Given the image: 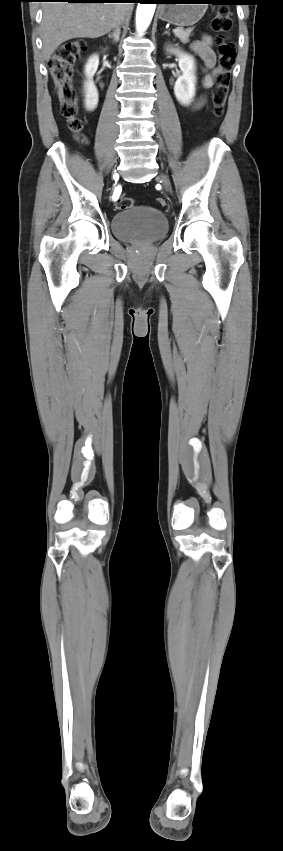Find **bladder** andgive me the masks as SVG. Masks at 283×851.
<instances>
[{
  "label": "bladder",
  "instance_id": "31cf9c89",
  "mask_svg": "<svg viewBox=\"0 0 283 851\" xmlns=\"http://www.w3.org/2000/svg\"><path fill=\"white\" fill-rule=\"evenodd\" d=\"M113 235L126 242H153L168 231L165 214L151 206H133L115 213L111 220Z\"/></svg>",
  "mask_w": 283,
  "mask_h": 851
}]
</instances>
